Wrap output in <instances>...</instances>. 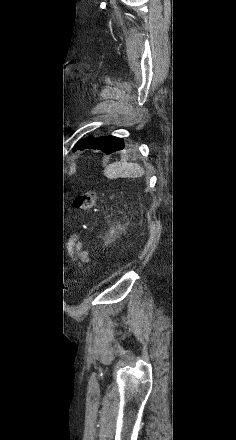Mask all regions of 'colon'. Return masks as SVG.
Listing matches in <instances>:
<instances>
[{"instance_id": "1", "label": "colon", "mask_w": 236, "mask_h": 440, "mask_svg": "<svg viewBox=\"0 0 236 440\" xmlns=\"http://www.w3.org/2000/svg\"><path fill=\"white\" fill-rule=\"evenodd\" d=\"M96 199V193L94 191H85L78 194L74 199V206L81 212H88L92 209ZM63 276L60 273L55 274L49 279L52 285L62 281Z\"/></svg>"}]
</instances>
